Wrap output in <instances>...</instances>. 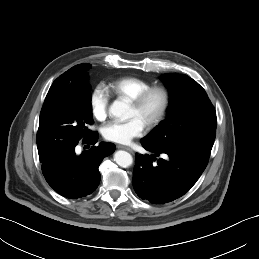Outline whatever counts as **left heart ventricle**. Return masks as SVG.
Wrapping results in <instances>:
<instances>
[{
	"label": "left heart ventricle",
	"instance_id": "obj_1",
	"mask_svg": "<svg viewBox=\"0 0 259 259\" xmlns=\"http://www.w3.org/2000/svg\"><path fill=\"white\" fill-rule=\"evenodd\" d=\"M160 105L161 96L158 93H154L140 108H136L130 105L128 117H137L146 125L156 115L160 108Z\"/></svg>",
	"mask_w": 259,
	"mask_h": 259
}]
</instances>
